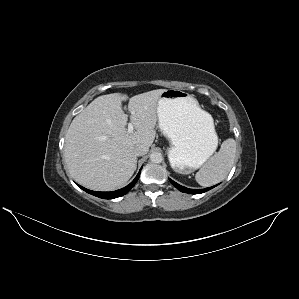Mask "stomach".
Masks as SVG:
<instances>
[{"label":"stomach","instance_id":"stomach-1","mask_svg":"<svg viewBox=\"0 0 299 299\" xmlns=\"http://www.w3.org/2000/svg\"><path fill=\"white\" fill-rule=\"evenodd\" d=\"M157 114L159 129L171 143L168 157L175 172H193L216 150L213 118L192 95L178 89L165 90L158 100Z\"/></svg>","mask_w":299,"mask_h":299}]
</instances>
